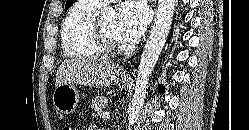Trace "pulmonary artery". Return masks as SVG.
I'll list each match as a JSON object with an SVG mask.
<instances>
[{"label":"pulmonary artery","mask_w":249,"mask_h":130,"mask_svg":"<svg viewBox=\"0 0 249 130\" xmlns=\"http://www.w3.org/2000/svg\"><path fill=\"white\" fill-rule=\"evenodd\" d=\"M92 1L102 6V5L107 4L108 2H111L113 0H92Z\"/></svg>","instance_id":"pulmonary-artery-1"}]
</instances>
